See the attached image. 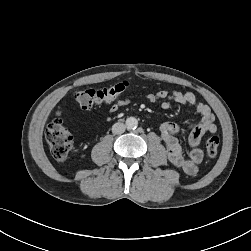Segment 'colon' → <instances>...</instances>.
Instances as JSON below:
<instances>
[{
	"label": "colon",
	"instance_id": "5ec220e1",
	"mask_svg": "<svg viewBox=\"0 0 251 251\" xmlns=\"http://www.w3.org/2000/svg\"><path fill=\"white\" fill-rule=\"evenodd\" d=\"M129 87V81L123 80L119 83L102 89H84L74 93V100L82 109L106 104L114 100ZM52 156L57 161H64L72 149L73 138L60 115L55 117L48 124L45 131ZM220 140L215 134L210 135L205 143L206 153L210 158L217 156Z\"/></svg>",
	"mask_w": 251,
	"mask_h": 251
}]
</instances>
